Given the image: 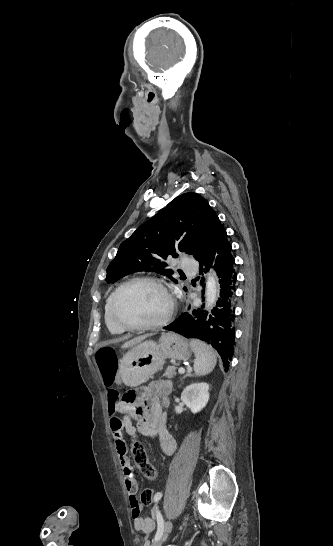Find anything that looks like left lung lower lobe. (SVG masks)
I'll return each mask as SVG.
<instances>
[{
  "label": "left lung lower lobe",
  "mask_w": 333,
  "mask_h": 546,
  "mask_svg": "<svg viewBox=\"0 0 333 546\" xmlns=\"http://www.w3.org/2000/svg\"><path fill=\"white\" fill-rule=\"evenodd\" d=\"M195 259L199 262L200 273L214 265L220 278V297L213 308L212 314L197 307L181 314L166 330L176 332L187 338H198L212 345L220 354L225 371L228 370L234 351V307L236 273L234 258L231 254V244L219 218L215 221L212 234L207 244L200 250Z\"/></svg>",
  "instance_id": "1"
}]
</instances>
